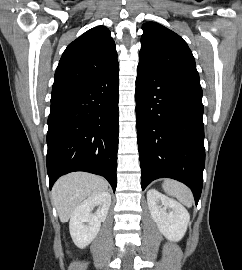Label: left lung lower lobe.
<instances>
[{"label":"left lung lower lobe","instance_id":"1","mask_svg":"<svg viewBox=\"0 0 242 270\" xmlns=\"http://www.w3.org/2000/svg\"><path fill=\"white\" fill-rule=\"evenodd\" d=\"M136 115L141 187L176 179L200 199L205 164L202 88L137 68Z\"/></svg>","mask_w":242,"mask_h":270}]
</instances>
